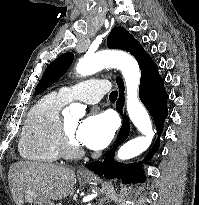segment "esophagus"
<instances>
[{
	"label": "esophagus",
	"mask_w": 199,
	"mask_h": 205,
	"mask_svg": "<svg viewBox=\"0 0 199 205\" xmlns=\"http://www.w3.org/2000/svg\"><path fill=\"white\" fill-rule=\"evenodd\" d=\"M78 173L82 177H93V173L86 168H81Z\"/></svg>",
	"instance_id": "obj_1"
}]
</instances>
